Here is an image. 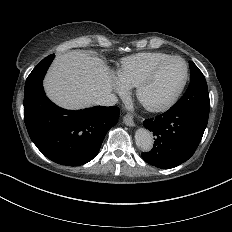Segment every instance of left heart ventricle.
I'll return each instance as SVG.
<instances>
[{"instance_id":"obj_1","label":"left heart ventricle","mask_w":232,"mask_h":232,"mask_svg":"<svg viewBox=\"0 0 232 232\" xmlns=\"http://www.w3.org/2000/svg\"><path fill=\"white\" fill-rule=\"evenodd\" d=\"M185 77V65L172 61L164 66L141 90L138 103L155 107L166 102L180 87Z\"/></svg>"}]
</instances>
